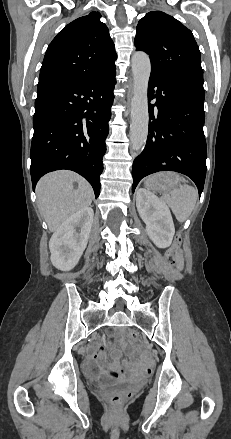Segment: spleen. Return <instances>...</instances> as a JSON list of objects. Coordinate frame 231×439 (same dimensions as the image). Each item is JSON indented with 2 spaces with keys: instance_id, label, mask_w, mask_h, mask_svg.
Listing matches in <instances>:
<instances>
[{
  "instance_id": "obj_1",
  "label": "spleen",
  "mask_w": 231,
  "mask_h": 439,
  "mask_svg": "<svg viewBox=\"0 0 231 439\" xmlns=\"http://www.w3.org/2000/svg\"><path fill=\"white\" fill-rule=\"evenodd\" d=\"M197 195L194 187L184 184L163 194L162 200L171 208L179 222H185L195 207Z\"/></svg>"
}]
</instances>
